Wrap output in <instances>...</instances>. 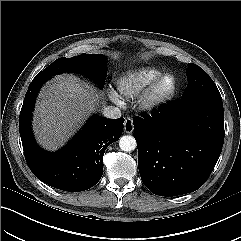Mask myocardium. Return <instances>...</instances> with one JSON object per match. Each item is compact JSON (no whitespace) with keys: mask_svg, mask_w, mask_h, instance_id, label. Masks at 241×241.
I'll use <instances>...</instances> for the list:
<instances>
[{"mask_svg":"<svg viewBox=\"0 0 241 241\" xmlns=\"http://www.w3.org/2000/svg\"><path fill=\"white\" fill-rule=\"evenodd\" d=\"M170 81V87L165 92H160V86L165 81ZM177 91V82L172 74L164 73L158 76L143 92L140 98V107L145 111H156L168 104Z\"/></svg>","mask_w":241,"mask_h":241,"instance_id":"1","label":"myocardium"}]
</instances>
